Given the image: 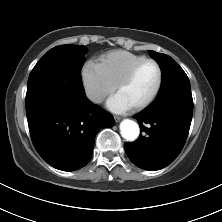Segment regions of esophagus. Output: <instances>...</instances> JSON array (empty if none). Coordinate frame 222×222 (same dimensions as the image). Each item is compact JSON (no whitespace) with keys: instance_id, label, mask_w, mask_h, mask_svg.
I'll return each instance as SVG.
<instances>
[{"instance_id":"esophagus-1","label":"esophagus","mask_w":222,"mask_h":222,"mask_svg":"<svg viewBox=\"0 0 222 222\" xmlns=\"http://www.w3.org/2000/svg\"><path fill=\"white\" fill-rule=\"evenodd\" d=\"M114 120H115V122H119L121 120V117L120 116H114Z\"/></svg>"}]
</instances>
